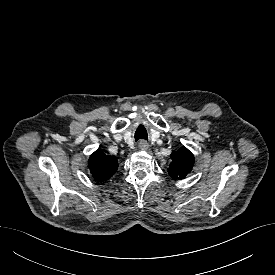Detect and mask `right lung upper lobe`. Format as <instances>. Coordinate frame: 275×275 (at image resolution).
I'll return each mask as SVG.
<instances>
[{
    "label": "right lung upper lobe",
    "instance_id": "1",
    "mask_svg": "<svg viewBox=\"0 0 275 275\" xmlns=\"http://www.w3.org/2000/svg\"><path fill=\"white\" fill-rule=\"evenodd\" d=\"M88 167L94 179L102 182L116 172L118 161L115 156H107L101 149H98L90 156Z\"/></svg>",
    "mask_w": 275,
    "mask_h": 275
}]
</instances>
